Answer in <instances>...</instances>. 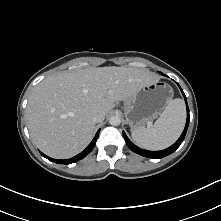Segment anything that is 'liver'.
<instances>
[{"instance_id": "6515ba94", "label": "liver", "mask_w": 221, "mask_h": 221, "mask_svg": "<svg viewBox=\"0 0 221 221\" xmlns=\"http://www.w3.org/2000/svg\"><path fill=\"white\" fill-rule=\"evenodd\" d=\"M156 81L158 77L148 70L116 66L49 76L33 89L28 99L26 118L30 136L46 155L71 158L91 141L95 114L106 116L116 102Z\"/></svg>"}]
</instances>
